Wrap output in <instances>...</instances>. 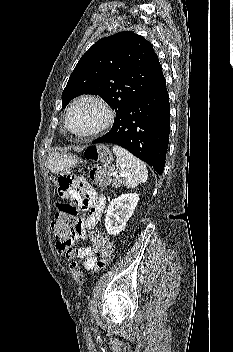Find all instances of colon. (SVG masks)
Returning a JSON list of instances; mask_svg holds the SVG:
<instances>
[{"label":"colon","mask_w":233,"mask_h":352,"mask_svg":"<svg viewBox=\"0 0 233 352\" xmlns=\"http://www.w3.org/2000/svg\"><path fill=\"white\" fill-rule=\"evenodd\" d=\"M85 157L95 163L90 172L93 182L99 186L106 185L111 175V153L102 146L91 145L85 150ZM75 213L74 205L64 203L52 221L53 233L62 244L68 243L69 235L76 224ZM90 239L95 256V266L97 268L106 267L113 252L112 242L100 230H93L90 233Z\"/></svg>","instance_id":"colon-1"}]
</instances>
